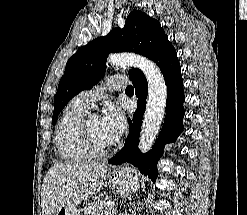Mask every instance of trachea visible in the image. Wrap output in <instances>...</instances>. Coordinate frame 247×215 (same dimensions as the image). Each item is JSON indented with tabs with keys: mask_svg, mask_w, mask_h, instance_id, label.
<instances>
[{
	"mask_svg": "<svg viewBox=\"0 0 247 215\" xmlns=\"http://www.w3.org/2000/svg\"><path fill=\"white\" fill-rule=\"evenodd\" d=\"M125 91H134V88L132 86H128Z\"/></svg>",
	"mask_w": 247,
	"mask_h": 215,
	"instance_id": "1",
	"label": "trachea"
}]
</instances>
